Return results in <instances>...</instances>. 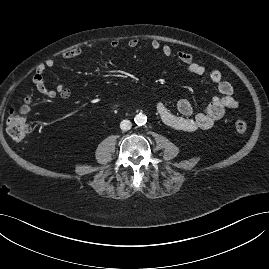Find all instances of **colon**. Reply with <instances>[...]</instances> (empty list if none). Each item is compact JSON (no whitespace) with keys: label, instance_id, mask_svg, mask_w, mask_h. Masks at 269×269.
Here are the masks:
<instances>
[{"label":"colon","instance_id":"5ec220e1","mask_svg":"<svg viewBox=\"0 0 269 269\" xmlns=\"http://www.w3.org/2000/svg\"><path fill=\"white\" fill-rule=\"evenodd\" d=\"M31 103L32 99L29 96L23 97L9 113L6 131L14 141L25 142L32 131L26 121V116L31 112ZM234 126L239 134H244L247 130V123L243 119H237Z\"/></svg>","mask_w":269,"mask_h":269}]
</instances>
